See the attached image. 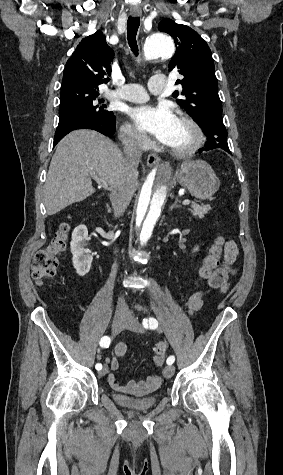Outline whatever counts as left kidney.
I'll use <instances>...</instances> for the list:
<instances>
[{"mask_svg":"<svg viewBox=\"0 0 283 475\" xmlns=\"http://www.w3.org/2000/svg\"><path fill=\"white\" fill-rule=\"evenodd\" d=\"M193 251H199V245H195V247H193Z\"/></svg>","mask_w":283,"mask_h":475,"instance_id":"obj_1","label":"left kidney"}]
</instances>
